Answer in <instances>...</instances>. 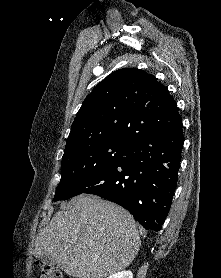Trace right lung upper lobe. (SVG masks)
I'll list each match as a JSON object with an SVG mask.
<instances>
[{
  "mask_svg": "<svg viewBox=\"0 0 221 278\" xmlns=\"http://www.w3.org/2000/svg\"><path fill=\"white\" fill-rule=\"evenodd\" d=\"M182 122L175 100L153 75L135 68L111 73L86 97L66 150L92 139L133 140Z\"/></svg>",
  "mask_w": 221,
  "mask_h": 278,
  "instance_id": "cb5924a9",
  "label": "right lung upper lobe"
}]
</instances>
